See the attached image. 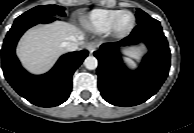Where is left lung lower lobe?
<instances>
[{"label":"left lung lower lobe","instance_id":"obj_1","mask_svg":"<svg viewBox=\"0 0 194 133\" xmlns=\"http://www.w3.org/2000/svg\"><path fill=\"white\" fill-rule=\"evenodd\" d=\"M144 42L149 52L136 71L128 70L120 58L119 47ZM99 61L98 87L112 105L129 107L141 104L161 87L170 68V50L160 22L150 17L131 34L115 43H105L94 52Z\"/></svg>","mask_w":194,"mask_h":133}]
</instances>
